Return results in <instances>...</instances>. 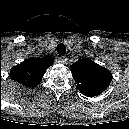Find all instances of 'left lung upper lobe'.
Returning a JSON list of instances; mask_svg holds the SVG:
<instances>
[{"instance_id": "left-lung-upper-lobe-1", "label": "left lung upper lobe", "mask_w": 129, "mask_h": 129, "mask_svg": "<svg viewBox=\"0 0 129 129\" xmlns=\"http://www.w3.org/2000/svg\"><path fill=\"white\" fill-rule=\"evenodd\" d=\"M76 65L75 80L82 93L89 96L98 95L110 84V72L94 62L82 59Z\"/></svg>"}]
</instances>
